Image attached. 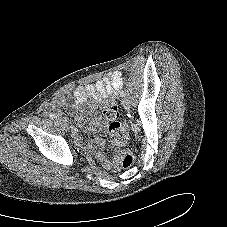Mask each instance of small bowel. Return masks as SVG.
<instances>
[{
	"instance_id": "c3829d8e",
	"label": "small bowel",
	"mask_w": 227,
	"mask_h": 227,
	"mask_svg": "<svg viewBox=\"0 0 227 227\" xmlns=\"http://www.w3.org/2000/svg\"><path fill=\"white\" fill-rule=\"evenodd\" d=\"M122 84L123 77L121 72H110L108 75L94 83L77 86L73 91V98L76 104L84 102L87 98H91L105 107L106 98L108 96L115 95L122 88ZM63 102V97L55 98L50 103L46 111L49 113L57 112L59 106ZM72 135L76 140L80 139L78 131L75 128L72 129ZM95 143L100 149H102L105 145L104 141L99 138L95 140ZM103 164L105 167L111 170H118V165L116 162H111L107 159H103Z\"/></svg>"
}]
</instances>
